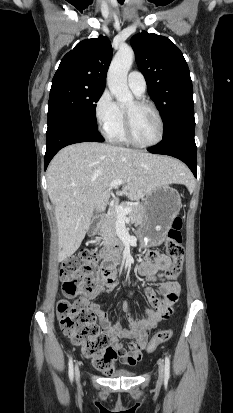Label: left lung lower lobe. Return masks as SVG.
<instances>
[{
    "label": "left lung lower lobe",
    "mask_w": 233,
    "mask_h": 413,
    "mask_svg": "<svg viewBox=\"0 0 233 413\" xmlns=\"http://www.w3.org/2000/svg\"><path fill=\"white\" fill-rule=\"evenodd\" d=\"M155 154L170 155L180 159L197 177V148L194 140V128H178L157 145L148 149Z\"/></svg>",
    "instance_id": "1"
}]
</instances>
